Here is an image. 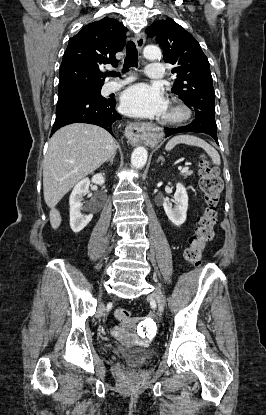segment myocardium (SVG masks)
Masks as SVG:
<instances>
[{"instance_id":"1","label":"myocardium","mask_w":266,"mask_h":415,"mask_svg":"<svg viewBox=\"0 0 266 415\" xmlns=\"http://www.w3.org/2000/svg\"><path fill=\"white\" fill-rule=\"evenodd\" d=\"M191 116V110L180 100L174 99L168 111L163 116V122L177 125L187 121Z\"/></svg>"}]
</instances>
